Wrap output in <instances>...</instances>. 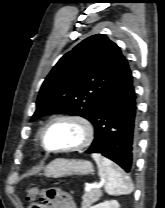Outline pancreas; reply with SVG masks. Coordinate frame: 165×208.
Wrapping results in <instances>:
<instances>
[{"label": "pancreas", "mask_w": 165, "mask_h": 208, "mask_svg": "<svg viewBox=\"0 0 165 208\" xmlns=\"http://www.w3.org/2000/svg\"><path fill=\"white\" fill-rule=\"evenodd\" d=\"M101 197V192L99 189H91L90 191H87L82 199V208H90V206L97 202L99 198Z\"/></svg>", "instance_id": "obj_1"}]
</instances>
